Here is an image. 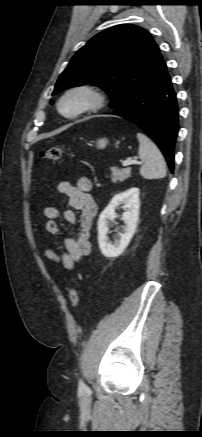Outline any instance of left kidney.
Returning <instances> with one entry per match:
<instances>
[{
	"label": "left kidney",
	"mask_w": 202,
	"mask_h": 437,
	"mask_svg": "<svg viewBox=\"0 0 202 437\" xmlns=\"http://www.w3.org/2000/svg\"><path fill=\"white\" fill-rule=\"evenodd\" d=\"M139 194L138 188H130L125 192L115 195L100 214L98 220V243L105 257L115 258L120 256L132 239L139 219ZM122 204L125 209L122 215V220L125 223L124 231L119 233L118 238L111 244L107 234L112 222L118 217L115 209Z\"/></svg>",
	"instance_id": "5707ae66"
}]
</instances>
